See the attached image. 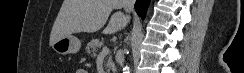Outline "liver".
<instances>
[{"mask_svg": "<svg viewBox=\"0 0 244 73\" xmlns=\"http://www.w3.org/2000/svg\"><path fill=\"white\" fill-rule=\"evenodd\" d=\"M122 7L121 0H64L51 30L49 45L73 33H93L100 30L113 9ZM129 17L114 13L104 34H113L125 27Z\"/></svg>", "mask_w": 244, "mask_h": 73, "instance_id": "obj_1", "label": "liver"}]
</instances>
